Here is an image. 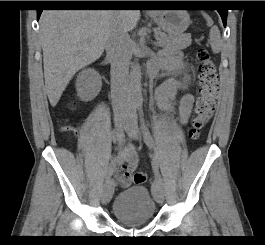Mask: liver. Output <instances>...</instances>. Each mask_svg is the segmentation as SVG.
<instances>
[{
    "label": "liver",
    "mask_w": 265,
    "mask_h": 245,
    "mask_svg": "<svg viewBox=\"0 0 265 245\" xmlns=\"http://www.w3.org/2000/svg\"><path fill=\"white\" fill-rule=\"evenodd\" d=\"M138 10H45L40 18L46 93L59 102L75 73L101 57L108 31L117 24L132 31Z\"/></svg>",
    "instance_id": "liver-1"
}]
</instances>
